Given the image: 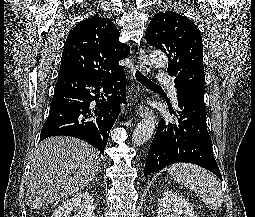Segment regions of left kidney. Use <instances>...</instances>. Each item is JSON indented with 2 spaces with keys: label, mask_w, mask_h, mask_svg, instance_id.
<instances>
[{
  "label": "left kidney",
  "mask_w": 255,
  "mask_h": 217,
  "mask_svg": "<svg viewBox=\"0 0 255 217\" xmlns=\"http://www.w3.org/2000/svg\"><path fill=\"white\" fill-rule=\"evenodd\" d=\"M157 217H197V215L185 198L173 190H167L158 203Z\"/></svg>",
  "instance_id": "1"
}]
</instances>
